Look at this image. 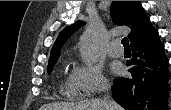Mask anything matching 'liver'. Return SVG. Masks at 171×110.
<instances>
[{
    "mask_svg": "<svg viewBox=\"0 0 171 110\" xmlns=\"http://www.w3.org/2000/svg\"><path fill=\"white\" fill-rule=\"evenodd\" d=\"M122 110V108L113 100L92 99L81 103H50L43 105L40 110Z\"/></svg>",
    "mask_w": 171,
    "mask_h": 110,
    "instance_id": "1",
    "label": "liver"
}]
</instances>
